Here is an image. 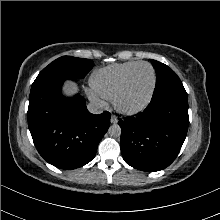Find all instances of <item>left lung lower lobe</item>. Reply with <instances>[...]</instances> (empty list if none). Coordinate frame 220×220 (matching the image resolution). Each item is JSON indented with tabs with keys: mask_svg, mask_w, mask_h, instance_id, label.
<instances>
[{
	"mask_svg": "<svg viewBox=\"0 0 220 220\" xmlns=\"http://www.w3.org/2000/svg\"><path fill=\"white\" fill-rule=\"evenodd\" d=\"M188 123V105L173 100L151 101L140 115L118 122L123 159L146 172L166 168L182 147Z\"/></svg>",
	"mask_w": 220,
	"mask_h": 220,
	"instance_id": "left-lung-lower-lobe-1",
	"label": "left lung lower lobe"
}]
</instances>
